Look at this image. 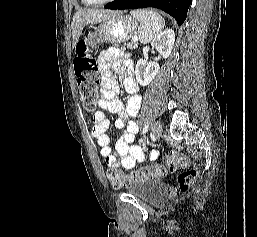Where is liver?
Returning <instances> with one entry per match:
<instances>
[{
  "mask_svg": "<svg viewBox=\"0 0 257 237\" xmlns=\"http://www.w3.org/2000/svg\"><path fill=\"white\" fill-rule=\"evenodd\" d=\"M118 14L116 11L109 10H79L77 11L72 19V47L74 48L78 42L84 27L88 24H95L102 22L109 17Z\"/></svg>",
  "mask_w": 257,
  "mask_h": 237,
  "instance_id": "liver-1",
  "label": "liver"
}]
</instances>
